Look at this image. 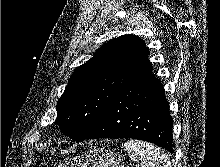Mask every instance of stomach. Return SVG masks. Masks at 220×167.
<instances>
[{"mask_svg": "<svg viewBox=\"0 0 220 167\" xmlns=\"http://www.w3.org/2000/svg\"><path fill=\"white\" fill-rule=\"evenodd\" d=\"M58 167H124L123 158L111 150L94 149L61 162Z\"/></svg>", "mask_w": 220, "mask_h": 167, "instance_id": "1", "label": "stomach"}]
</instances>
